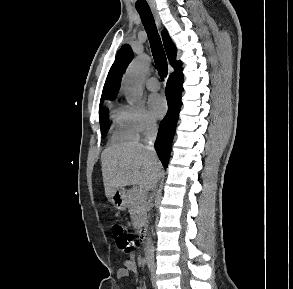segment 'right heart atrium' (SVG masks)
<instances>
[{
  "instance_id": "1",
  "label": "right heart atrium",
  "mask_w": 293,
  "mask_h": 289,
  "mask_svg": "<svg viewBox=\"0 0 293 289\" xmlns=\"http://www.w3.org/2000/svg\"><path fill=\"white\" fill-rule=\"evenodd\" d=\"M138 135H148L156 128V121L141 104L130 107Z\"/></svg>"
}]
</instances>
